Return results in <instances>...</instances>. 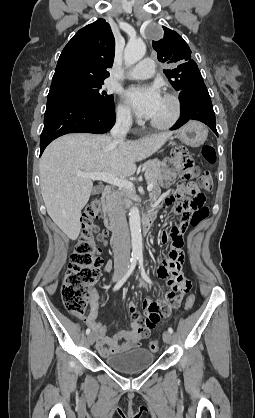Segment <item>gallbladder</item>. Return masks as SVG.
<instances>
[{"instance_id":"bac80fb5","label":"gallbladder","mask_w":255,"mask_h":418,"mask_svg":"<svg viewBox=\"0 0 255 418\" xmlns=\"http://www.w3.org/2000/svg\"><path fill=\"white\" fill-rule=\"evenodd\" d=\"M101 191H102V187L101 186H96L93 189V194H99V193H101Z\"/></svg>"}]
</instances>
